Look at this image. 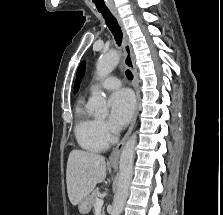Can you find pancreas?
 Wrapping results in <instances>:
<instances>
[{"instance_id":"obj_1","label":"pancreas","mask_w":223,"mask_h":215,"mask_svg":"<svg viewBox=\"0 0 223 215\" xmlns=\"http://www.w3.org/2000/svg\"><path fill=\"white\" fill-rule=\"evenodd\" d=\"M99 193H98V189H93L91 195H89V199H92V202H94V205L96 203V197H98ZM101 215H105V211L104 209H102V213Z\"/></svg>"}]
</instances>
